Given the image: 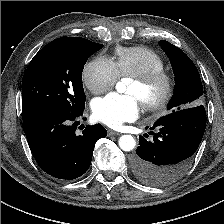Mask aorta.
Segmentation results:
<instances>
[{"label": "aorta", "instance_id": "762f6f07", "mask_svg": "<svg viewBox=\"0 0 224 224\" xmlns=\"http://www.w3.org/2000/svg\"><path fill=\"white\" fill-rule=\"evenodd\" d=\"M116 89L118 92L123 93L125 90V80L123 79L121 82L116 84ZM136 145L135 139L131 135H122L119 138V147L123 151H131L134 149Z\"/></svg>", "mask_w": 224, "mask_h": 224}]
</instances>
